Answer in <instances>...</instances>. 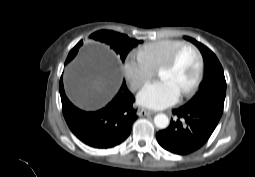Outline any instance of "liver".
<instances>
[{"label": "liver", "instance_id": "liver-1", "mask_svg": "<svg viewBox=\"0 0 255 177\" xmlns=\"http://www.w3.org/2000/svg\"><path fill=\"white\" fill-rule=\"evenodd\" d=\"M104 83L101 77L96 76L91 82V89L94 94H99L103 91Z\"/></svg>", "mask_w": 255, "mask_h": 177}]
</instances>
